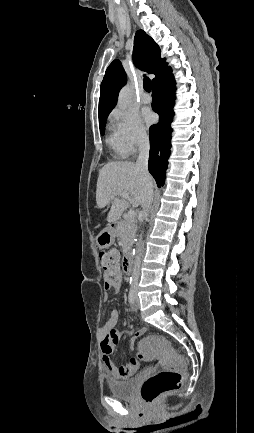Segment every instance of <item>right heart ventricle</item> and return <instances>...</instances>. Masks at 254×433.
Wrapping results in <instances>:
<instances>
[{"label": "right heart ventricle", "mask_w": 254, "mask_h": 433, "mask_svg": "<svg viewBox=\"0 0 254 433\" xmlns=\"http://www.w3.org/2000/svg\"><path fill=\"white\" fill-rule=\"evenodd\" d=\"M106 143H107L108 147L110 148L114 157L123 158L125 156V154H124V152L120 146L119 140L113 131V128H112V132L108 135V137L106 139Z\"/></svg>", "instance_id": "e07e8e85"}]
</instances>
